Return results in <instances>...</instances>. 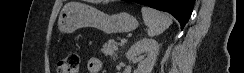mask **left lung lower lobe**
<instances>
[{"mask_svg": "<svg viewBox=\"0 0 244 73\" xmlns=\"http://www.w3.org/2000/svg\"><path fill=\"white\" fill-rule=\"evenodd\" d=\"M147 5L149 7L171 13L181 24L185 26L189 20L195 0H127Z\"/></svg>", "mask_w": 244, "mask_h": 73, "instance_id": "0a47b994", "label": "left lung lower lobe"}]
</instances>
